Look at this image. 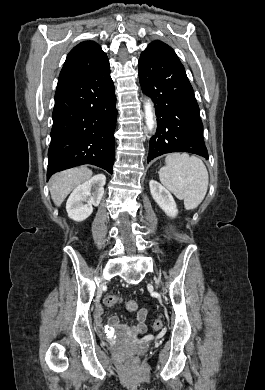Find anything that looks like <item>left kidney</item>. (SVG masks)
Segmentation results:
<instances>
[{
  "label": "left kidney",
  "instance_id": "obj_1",
  "mask_svg": "<svg viewBox=\"0 0 265 390\" xmlns=\"http://www.w3.org/2000/svg\"><path fill=\"white\" fill-rule=\"evenodd\" d=\"M150 192L159 205V207L169 216L176 217L178 214L177 206L171 193L159 182L151 180L149 182Z\"/></svg>",
  "mask_w": 265,
  "mask_h": 390
}]
</instances>
